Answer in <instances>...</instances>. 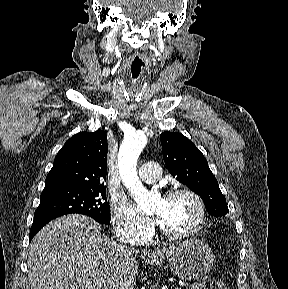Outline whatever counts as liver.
Segmentation results:
<instances>
[{"label":"liver","instance_id":"1","mask_svg":"<svg viewBox=\"0 0 288 289\" xmlns=\"http://www.w3.org/2000/svg\"><path fill=\"white\" fill-rule=\"evenodd\" d=\"M174 247L122 250L88 216L69 214L52 220L32 239L28 253L31 289H134V253L161 265Z\"/></svg>","mask_w":288,"mask_h":289}]
</instances>
